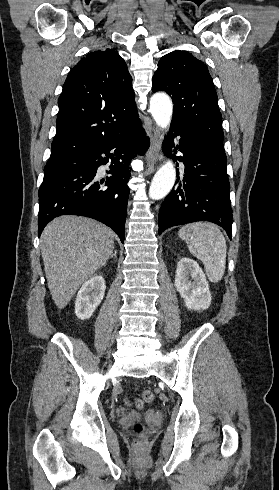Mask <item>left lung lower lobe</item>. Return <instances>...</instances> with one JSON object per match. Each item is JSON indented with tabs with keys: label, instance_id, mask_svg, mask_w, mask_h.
Instances as JSON below:
<instances>
[{
	"label": "left lung lower lobe",
	"instance_id": "left-lung-lower-lobe-1",
	"mask_svg": "<svg viewBox=\"0 0 279 490\" xmlns=\"http://www.w3.org/2000/svg\"><path fill=\"white\" fill-rule=\"evenodd\" d=\"M174 136L181 137L177 148L183 156L176 160L185 166L184 178L161 206L159 234L172 226L209 221L225 229L231 239L232 208L223 142L171 123L164 149L170 148Z\"/></svg>",
	"mask_w": 279,
	"mask_h": 490
}]
</instances>
